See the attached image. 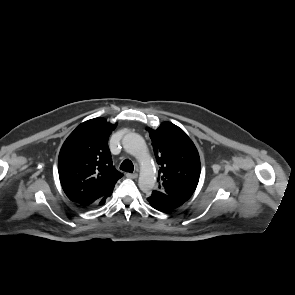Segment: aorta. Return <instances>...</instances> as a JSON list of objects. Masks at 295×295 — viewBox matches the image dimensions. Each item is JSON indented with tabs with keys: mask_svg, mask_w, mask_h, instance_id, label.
Here are the masks:
<instances>
[{
	"mask_svg": "<svg viewBox=\"0 0 295 295\" xmlns=\"http://www.w3.org/2000/svg\"><path fill=\"white\" fill-rule=\"evenodd\" d=\"M122 144L125 151L141 163L138 185L143 192H149L155 186L156 176L144 138L137 133H128L124 136Z\"/></svg>",
	"mask_w": 295,
	"mask_h": 295,
	"instance_id": "1",
	"label": "aorta"
}]
</instances>
